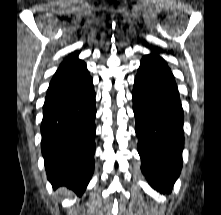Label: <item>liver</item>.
Segmentation results:
<instances>
[{"label":"liver","mask_w":221,"mask_h":215,"mask_svg":"<svg viewBox=\"0 0 221 215\" xmlns=\"http://www.w3.org/2000/svg\"><path fill=\"white\" fill-rule=\"evenodd\" d=\"M65 192H68V193H70L69 191H67L66 189H63Z\"/></svg>","instance_id":"obj_1"}]
</instances>
